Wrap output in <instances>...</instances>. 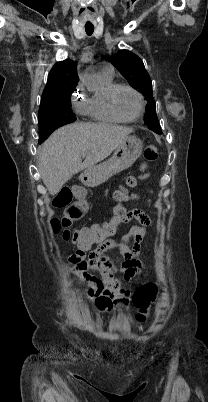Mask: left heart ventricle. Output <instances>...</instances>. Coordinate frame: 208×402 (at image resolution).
<instances>
[{
	"label": "left heart ventricle",
	"instance_id": "obj_1",
	"mask_svg": "<svg viewBox=\"0 0 208 402\" xmlns=\"http://www.w3.org/2000/svg\"><path fill=\"white\" fill-rule=\"evenodd\" d=\"M115 106L123 117L132 118L139 113L140 100L132 91L122 89L116 94Z\"/></svg>",
	"mask_w": 208,
	"mask_h": 402
}]
</instances>
